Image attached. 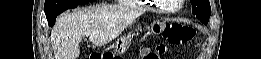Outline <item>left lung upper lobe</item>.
<instances>
[{
  "mask_svg": "<svg viewBox=\"0 0 261 59\" xmlns=\"http://www.w3.org/2000/svg\"><path fill=\"white\" fill-rule=\"evenodd\" d=\"M192 3V12L202 23L207 24L211 15L209 0H190Z\"/></svg>",
  "mask_w": 261,
  "mask_h": 59,
  "instance_id": "obj_1",
  "label": "left lung upper lobe"
}]
</instances>
